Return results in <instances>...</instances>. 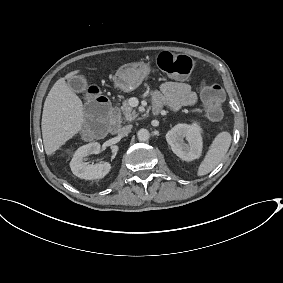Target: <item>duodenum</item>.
I'll list each match as a JSON object with an SVG mask.
<instances>
[{
	"instance_id": "obj_1",
	"label": "duodenum",
	"mask_w": 283,
	"mask_h": 283,
	"mask_svg": "<svg viewBox=\"0 0 283 283\" xmlns=\"http://www.w3.org/2000/svg\"><path fill=\"white\" fill-rule=\"evenodd\" d=\"M159 111H160V108L155 106L154 113H158ZM120 128H121L120 116L117 112H113L110 118L109 124H108V131L110 133H118L120 131Z\"/></svg>"
}]
</instances>
